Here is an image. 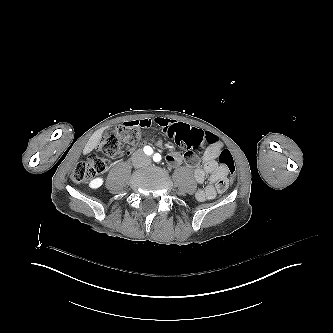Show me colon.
<instances>
[{
  "mask_svg": "<svg viewBox=\"0 0 333 333\" xmlns=\"http://www.w3.org/2000/svg\"><path fill=\"white\" fill-rule=\"evenodd\" d=\"M170 137L177 144H184L188 149L199 153L202 149H211L217 141L215 136L205 127L192 129L186 122H176L170 128ZM140 141V132L137 128L117 127L114 132L99 143V148L106 159L92 157L87 162H79L72 172L74 182H83L102 173L108 165L117 159L123 147L136 146ZM220 163L233 175L236 170L235 160L228 149H222L219 156ZM231 179H223L219 183V190L225 191L230 185Z\"/></svg>",
  "mask_w": 333,
  "mask_h": 333,
  "instance_id": "5ec220e1",
  "label": "colon"
}]
</instances>
